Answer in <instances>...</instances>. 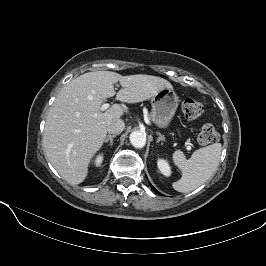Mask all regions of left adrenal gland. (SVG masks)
<instances>
[{
  "instance_id": "a2214340",
  "label": "left adrenal gland",
  "mask_w": 266,
  "mask_h": 266,
  "mask_svg": "<svg viewBox=\"0 0 266 266\" xmlns=\"http://www.w3.org/2000/svg\"><path fill=\"white\" fill-rule=\"evenodd\" d=\"M157 135H159V137L157 139V143H159L160 141H165V138L161 133L157 132Z\"/></svg>"
}]
</instances>
